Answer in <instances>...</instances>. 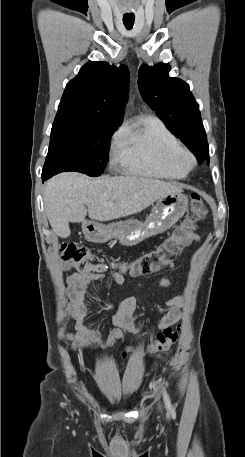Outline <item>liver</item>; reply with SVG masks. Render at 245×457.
<instances>
[{
	"instance_id": "6515ba94",
	"label": "liver",
	"mask_w": 245,
	"mask_h": 457,
	"mask_svg": "<svg viewBox=\"0 0 245 457\" xmlns=\"http://www.w3.org/2000/svg\"><path fill=\"white\" fill-rule=\"evenodd\" d=\"M172 192H182L181 186L135 174L90 178L79 172H60L46 180L43 200L55 235L67 239L69 222H82L87 212L95 220H113L140 212Z\"/></svg>"
}]
</instances>
